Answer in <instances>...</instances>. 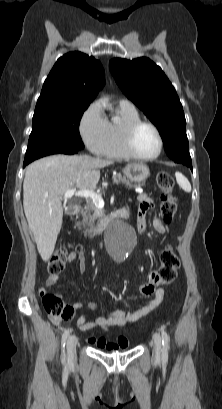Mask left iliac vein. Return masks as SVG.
Segmentation results:
<instances>
[{"label": "left iliac vein", "instance_id": "4c4485c4", "mask_svg": "<svg viewBox=\"0 0 222 409\" xmlns=\"http://www.w3.org/2000/svg\"><path fill=\"white\" fill-rule=\"evenodd\" d=\"M154 341V357L155 359H160L162 351V340L159 334L155 333L153 335Z\"/></svg>", "mask_w": 222, "mask_h": 409}]
</instances>
